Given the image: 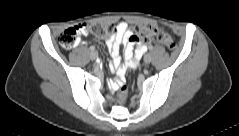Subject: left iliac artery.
I'll list each match as a JSON object with an SVG mask.
<instances>
[{"label": "left iliac artery", "mask_w": 239, "mask_h": 136, "mask_svg": "<svg viewBox=\"0 0 239 136\" xmlns=\"http://www.w3.org/2000/svg\"><path fill=\"white\" fill-rule=\"evenodd\" d=\"M152 49V46H148V50H151Z\"/></svg>", "instance_id": "obj_1"}]
</instances>
